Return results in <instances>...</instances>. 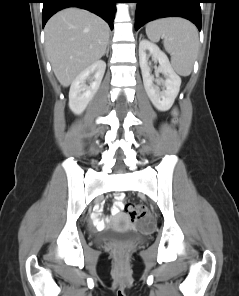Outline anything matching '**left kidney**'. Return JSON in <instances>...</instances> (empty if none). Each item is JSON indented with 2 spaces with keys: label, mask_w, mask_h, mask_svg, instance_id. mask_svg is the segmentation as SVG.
I'll return each mask as SVG.
<instances>
[{
  "label": "left kidney",
  "mask_w": 239,
  "mask_h": 296,
  "mask_svg": "<svg viewBox=\"0 0 239 296\" xmlns=\"http://www.w3.org/2000/svg\"><path fill=\"white\" fill-rule=\"evenodd\" d=\"M152 56L154 61L159 62L158 71L164 74L165 80H157V85H163L165 90L160 91L159 87L154 85V78L150 75V67L148 65V54ZM139 63L143 77L145 91L154 107L162 112L168 111L177 97L181 78L173 70L168 57L153 42L142 40L139 43Z\"/></svg>",
  "instance_id": "left-kidney-1"
}]
</instances>
